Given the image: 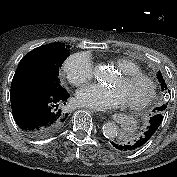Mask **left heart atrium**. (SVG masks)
I'll return each mask as SVG.
<instances>
[{
	"instance_id": "1",
	"label": "left heart atrium",
	"mask_w": 177,
	"mask_h": 177,
	"mask_svg": "<svg viewBox=\"0 0 177 177\" xmlns=\"http://www.w3.org/2000/svg\"><path fill=\"white\" fill-rule=\"evenodd\" d=\"M76 100L80 105L95 110H108L125 103L119 90L98 84H90L79 89Z\"/></svg>"
}]
</instances>
